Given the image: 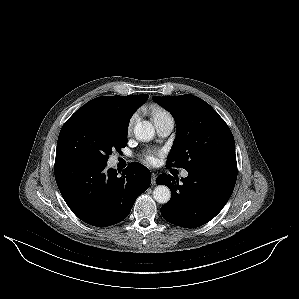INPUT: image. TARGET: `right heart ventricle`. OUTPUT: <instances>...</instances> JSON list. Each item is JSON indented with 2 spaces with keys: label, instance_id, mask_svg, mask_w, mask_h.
<instances>
[{
  "label": "right heart ventricle",
  "instance_id": "e07e8e85",
  "mask_svg": "<svg viewBox=\"0 0 299 299\" xmlns=\"http://www.w3.org/2000/svg\"><path fill=\"white\" fill-rule=\"evenodd\" d=\"M152 115H153L154 121L170 116V114L161 107H154L152 109Z\"/></svg>",
  "mask_w": 299,
  "mask_h": 299
}]
</instances>
